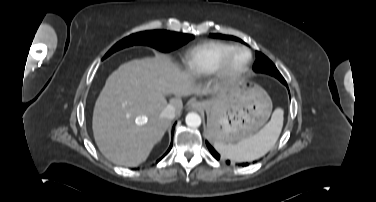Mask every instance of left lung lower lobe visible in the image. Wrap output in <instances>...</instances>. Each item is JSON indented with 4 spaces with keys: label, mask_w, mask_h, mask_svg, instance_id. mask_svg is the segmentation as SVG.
I'll use <instances>...</instances> for the list:
<instances>
[{
    "label": "left lung lower lobe",
    "mask_w": 376,
    "mask_h": 202,
    "mask_svg": "<svg viewBox=\"0 0 376 202\" xmlns=\"http://www.w3.org/2000/svg\"><path fill=\"white\" fill-rule=\"evenodd\" d=\"M282 83L287 86V83H286L285 80ZM206 145H207L209 151L211 152V154L213 155V157L215 159L219 160L220 155L215 151V149L207 141H206ZM227 164H229V161H227ZM248 165H249V163H243L242 164V166H248Z\"/></svg>",
    "instance_id": "obj_1"
}]
</instances>
